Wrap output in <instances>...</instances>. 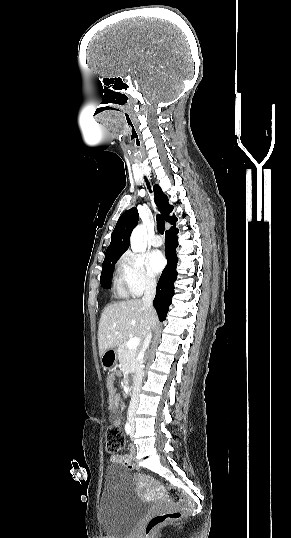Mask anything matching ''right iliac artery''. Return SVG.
Listing matches in <instances>:
<instances>
[{
	"mask_svg": "<svg viewBox=\"0 0 291 538\" xmlns=\"http://www.w3.org/2000/svg\"><path fill=\"white\" fill-rule=\"evenodd\" d=\"M125 432L128 435L131 433V426H130V424L128 422L125 424Z\"/></svg>",
	"mask_w": 291,
	"mask_h": 538,
	"instance_id": "obj_1",
	"label": "right iliac artery"
}]
</instances>
